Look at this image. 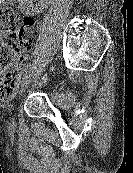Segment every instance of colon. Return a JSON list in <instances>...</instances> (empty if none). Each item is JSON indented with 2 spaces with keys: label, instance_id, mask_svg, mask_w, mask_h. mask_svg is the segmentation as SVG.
Listing matches in <instances>:
<instances>
[{
  "label": "colon",
  "instance_id": "colon-1",
  "mask_svg": "<svg viewBox=\"0 0 133 173\" xmlns=\"http://www.w3.org/2000/svg\"><path fill=\"white\" fill-rule=\"evenodd\" d=\"M1 3V0H0ZM34 22L21 18L0 4V99L9 100L18 85L17 63L31 47L30 34Z\"/></svg>",
  "mask_w": 133,
  "mask_h": 173
}]
</instances>
